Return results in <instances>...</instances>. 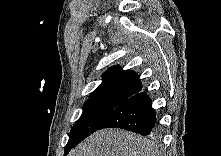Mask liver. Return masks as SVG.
<instances>
[{"instance_id":"liver-1","label":"liver","mask_w":221,"mask_h":156,"mask_svg":"<svg viewBox=\"0 0 221 156\" xmlns=\"http://www.w3.org/2000/svg\"><path fill=\"white\" fill-rule=\"evenodd\" d=\"M155 142L121 129L97 131L74 148L69 156H159Z\"/></svg>"}]
</instances>
